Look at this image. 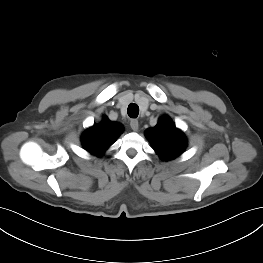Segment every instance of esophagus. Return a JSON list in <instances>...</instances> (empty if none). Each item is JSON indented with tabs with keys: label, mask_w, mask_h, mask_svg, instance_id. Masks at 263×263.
<instances>
[{
	"label": "esophagus",
	"mask_w": 263,
	"mask_h": 263,
	"mask_svg": "<svg viewBox=\"0 0 263 263\" xmlns=\"http://www.w3.org/2000/svg\"><path fill=\"white\" fill-rule=\"evenodd\" d=\"M130 127L133 131H138V128H139V123H138V120L136 119H132L130 121Z\"/></svg>",
	"instance_id": "34e87169"
}]
</instances>
